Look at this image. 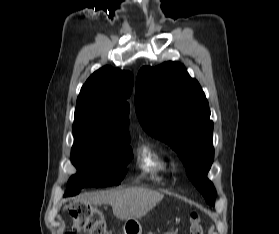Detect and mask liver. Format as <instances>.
<instances>
[{"instance_id":"1","label":"liver","mask_w":279,"mask_h":234,"mask_svg":"<svg viewBox=\"0 0 279 234\" xmlns=\"http://www.w3.org/2000/svg\"><path fill=\"white\" fill-rule=\"evenodd\" d=\"M164 195L141 187H131L119 191L93 193L81 200L88 204H110L113 214L120 220L139 219L145 216Z\"/></svg>"}]
</instances>
